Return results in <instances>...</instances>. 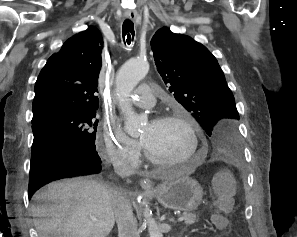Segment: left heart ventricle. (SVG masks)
<instances>
[{
	"instance_id": "b2bd125f",
	"label": "left heart ventricle",
	"mask_w": 297,
	"mask_h": 237,
	"mask_svg": "<svg viewBox=\"0 0 297 237\" xmlns=\"http://www.w3.org/2000/svg\"><path fill=\"white\" fill-rule=\"evenodd\" d=\"M140 139L144 146L162 160H178L191 152V139L179 123L153 122L144 126Z\"/></svg>"
}]
</instances>
